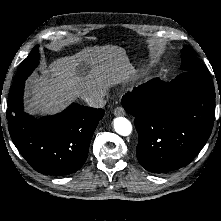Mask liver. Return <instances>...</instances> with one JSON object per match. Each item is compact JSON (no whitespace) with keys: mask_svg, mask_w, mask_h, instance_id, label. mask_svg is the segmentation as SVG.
<instances>
[{"mask_svg":"<svg viewBox=\"0 0 221 221\" xmlns=\"http://www.w3.org/2000/svg\"><path fill=\"white\" fill-rule=\"evenodd\" d=\"M133 76L125 49L113 45L86 47L75 55L54 60L42 75L29 79L26 111L54 114L78 97H104L109 87Z\"/></svg>","mask_w":221,"mask_h":221,"instance_id":"obj_1","label":"liver"}]
</instances>
